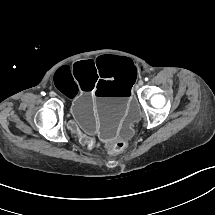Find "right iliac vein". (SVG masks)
I'll return each instance as SVG.
<instances>
[{
    "mask_svg": "<svg viewBox=\"0 0 215 215\" xmlns=\"http://www.w3.org/2000/svg\"><path fill=\"white\" fill-rule=\"evenodd\" d=\"M49 95H50L51 97H55V96H56V93H55L54 91H51V92L49 93Z\"/></svg>",
    "mask_w": 215,
    "mask_h": 215,
    "instance_id": "right-iliac-vein-1",
    "label": "right iliac vein"
}]
</instances>
